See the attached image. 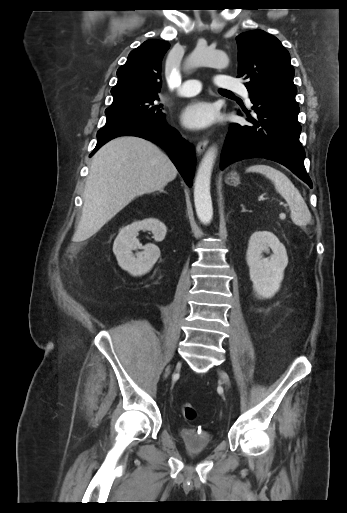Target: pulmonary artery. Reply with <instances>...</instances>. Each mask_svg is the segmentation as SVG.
I'll list each match as a JSON object with an SVG mask.
<instances>
[{
    "label": "pulmonary artery",
    "mask_w": 347,
    "mask_h": 513,
    "mask_svg": "<svg viewBox=\"0 0 347 513\" xmlns=\"http://www.w3.org/2000/svg\"><path fill=\"white\" fill-rule=\"evenodd\" d=\"M215 84L219 88H225L239 93L244 97L245 101L250 104V97L247 88L237 80L226 75H218L215 79ZM201 89L202 84L199 80H186L180 87L178 94L180 96L190 97L198 94Z\"/></svg>",
    "instance_id": "e3ab8cb5"
}]
</instances>
